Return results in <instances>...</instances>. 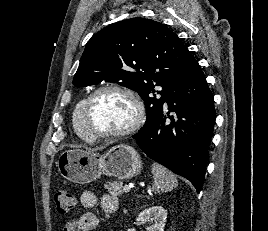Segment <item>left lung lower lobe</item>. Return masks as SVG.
I'll list each match as a JSON object with an SVG mask.
<instances>
[{"label": "left lung lower lobe", "instance_id": "obj_1", "mask_svg": "<svg viewBox=\"0 0 268 231\" xmlns=\"http://www.w3.org/2000/svg\"><path fill=\"white\" fill-rule=\"evenodd\" d=\"M165 103L167 114L164 105L154 124L132 137L148 157L188 179L200 192L216 113L198 62L173 84ZM169 112L175 115L169 116Z\"/></svg>", "mask_w": 268, "mask_h": 231}]
</instances>
